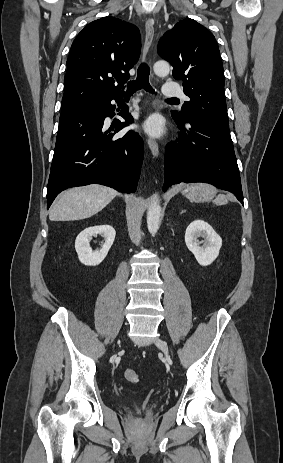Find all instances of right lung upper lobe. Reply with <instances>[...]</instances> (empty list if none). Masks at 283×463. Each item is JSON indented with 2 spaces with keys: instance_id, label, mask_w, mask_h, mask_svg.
<instances>
[{
  "instance_id": "right-lung-upper-lobe-1",
  "label": "right lung upper lobe",
  "mask_w": 283,
  "mask_h": 463,
  "mask_svg": "<svg viewBox=\"0 0 283 463\" xmlns=\"http://www.w3.org/2000/svg\"><path fill=\"white\" fill-rule=\"evenodd\" d=\"M140 50L136 26L111 16L88 24L71 46L61 115L92 100L123 94Z\"/></svg>"
}]
</instances>
